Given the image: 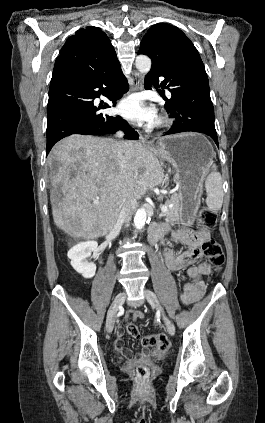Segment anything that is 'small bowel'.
I'll return each instance as SVG.
<instances>
[{
    "label": "small bowel",
    "instance_id": "c3829d8e",
    "mask_svg": "<svg viewBox=\"0 0 265 423\" xmlns=\"http://www.w3.org/2000/svg\"><path fill=\"white\" fill-rule=\"evenodd\" d=\"M155 227L163 230L164 234L171 233L175 242L186 247L184 252L175 254L171 248L166 246L164 248V259L168 269L173 272L186 269L187 275L191 280L183 287L181 301L185 305L193 304L195 301L200 299L204 293L205 283L202 280V277L211 272V267L207 262L199 261L200 252L198 250L203 241L210 236V232L207 230L196 232L189 228H178L172 230L169 222L155 225ZM128 317H132L136 320L143 318V314L140 311H133L128 315ZM123 336L124 332L121 329H118L116 332L115 349L119 354L130 360L132 359V355L124 347Z\"/></svg>",
    "mask_w": 265,
    "mask_h": 423
}]
</instances>
